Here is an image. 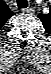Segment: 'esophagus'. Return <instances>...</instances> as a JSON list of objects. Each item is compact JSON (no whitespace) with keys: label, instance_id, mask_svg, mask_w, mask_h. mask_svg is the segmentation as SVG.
Instances as JSON below:
<instances>
[{"label":"esophagus","instance_id":"1","mask_svg":"<svg viewBox=\"0 0 51 74\" xmlns=\"http://www.w3.org/2000/svg\"><path fill=\"white\" fill-rule=\"evenodd\" d=\"M30 10H31V9H23V12H24V13H28V12H30Z\"/></svg>","mask_w":51,"mask_h":74}]
</instances>
